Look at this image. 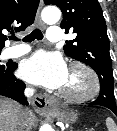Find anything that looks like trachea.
Listing matches in <instances>:
<instances>
[{
	"label": "trachea",
	"mask_w": 117,
	"mask_h": 131,
	"mask_svg": "<svg viewBox=\"0 0 117 131\" xmlns=\"http://www.w3.org/2000/svg\"><path fill=\"white\" fill-rule=\"evenodd\" d=\"M11 40H14V41H19V39L15 36H11L10 37ZM35 39L37 40H42L43 39V34L41 32L40 29L36 28L35 30H33L29 35L25 36L23 38V42H32L34 41Z\"/></svg>",
	"instance_id": "obj_1"
}]
</instances>
